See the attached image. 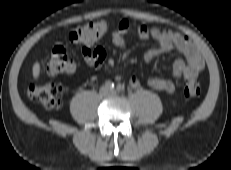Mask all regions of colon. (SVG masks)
<instances>
[{
  "label": "colon",
  "instance_id": "1",
  "mask_svg": "<svg viewBox=\"0 0 231 170\" xmlns=\"http://www.w3.org/2000/svg\"><path fill=\"white\" fill-rule=\"evenodd\" d=\"M109 27L106 20L92 21L83 24L70 33V41L75 44L88 45L100 39ZM75 64L68 56L63 46H56L52 50L47 71L51 75L68 74L73 72ZM201 88L196 80H189L183 89L186 97L200 94ZM29 98L48 109H58L63 105L62 87L56 83L31 84L28 88Z\"/></svg>",
  "mask_w": 231,
  "mask_h": 170
}]
</instances>
